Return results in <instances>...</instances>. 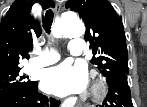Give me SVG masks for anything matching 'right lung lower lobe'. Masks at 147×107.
I'll use <instances>...</instances> for the list:
<instances>
[{"label":"right lung lower lobe","mask_w":147,"mask_h":107,"mask_svg":"<svg viewBox=\"0 0 147 107\" xmlns=\"http://www.w3.org/2000/svg\"><path fill=\"white\" fill-rule=\"evenodd\" d=\"M38 83L29 88L17 91L10 95L0 98V107H57L60 102L47 98L38 92Z\"/></svg>","instance_id":"98d812e1"}]
</instances>
